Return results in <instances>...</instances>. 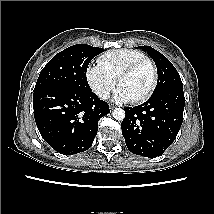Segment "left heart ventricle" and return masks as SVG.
<instances>
[{
  "mask_svg": "<svg viewBox=\"0 0 214 214\" xmlns=\"http://www.w3.org/2000/svg\"><path fill=\"white\" fill-rule=\"evenodd\" d=\"M150 81V68L147 65H143L132 74L124 77L120 82V87L123 88L132 99H136L146 91Z\"/></svg>",
  "mask_w": 214,
  "mask_h": 214,
  "instance_id": "1",
  "label": "left heart ventricle"
}]
</instances>
